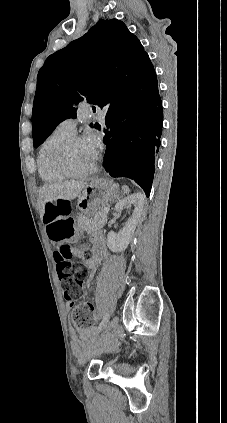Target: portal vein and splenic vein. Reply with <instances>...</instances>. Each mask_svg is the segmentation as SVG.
I'll use <instances>...</instances> for the list:
<instances>
[{"mask_svg":"<svg viewBox=\"0 0 227 423\" xmlns=\"http://www.w3.org/2000/svg\"><path fill=\"white\" fill-rule=\"evenodd\" d=\"M104 211H109V208H104Z\"/></svg>","mask_w":227,"mask_h":423,"instance_id":"obj_1","label":"portal vein and splenic vein"}]
</instances>
